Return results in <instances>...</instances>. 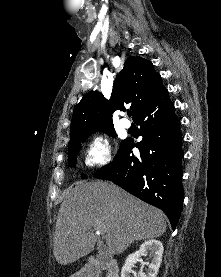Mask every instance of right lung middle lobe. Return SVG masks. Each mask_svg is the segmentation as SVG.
<instances>
[{"label":"right lung middle lobe","instance_id":"1","mask_svg":"<svg viewBox=\"0 0 221 277\" xmlns=\"http://www.w3.org/2000/svg\"><path fill=\"white\" fill-rule=\"evenodd\" d=\"M97 131H102L107 133L109 136L116 137V132L114 130L113 125L95 127V128H91V129L79 132L75 135H72L70 137V142L68 145L70 166L75 165L76 155L78 154L81 148L80 143H83L88 138L89 135ZM81 177L85 178L86 176L82 174Z\"/></svg>","mask_w":221,"mask_h":277}]
</instances>
